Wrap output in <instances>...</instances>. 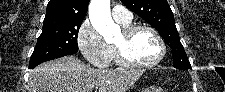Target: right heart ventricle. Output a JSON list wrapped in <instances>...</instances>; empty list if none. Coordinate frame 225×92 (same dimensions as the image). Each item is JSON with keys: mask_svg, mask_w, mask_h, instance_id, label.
Here are the masks:
<instances>
[{"mask_svg": "<svg viewBox=\"0 0 225 92\" xmlns=\"http://www.w3.org/2000/svg\"><path fill=\"white\" fill-rule=\"evenodd\" d=\"M120 25H121L123 28H126V27H128V26L130 25V23H128V24H121V23H120ZM111 49H112V58L116 61V63H119V62H118V58H117V54H116V50H115L114 46H111Z\"/></svg>", "mask_w": 225, "mask_h": 92, "instance_id": "right-heart-ventricle-1", "label": "right heart ventricle"}]
</instances>
